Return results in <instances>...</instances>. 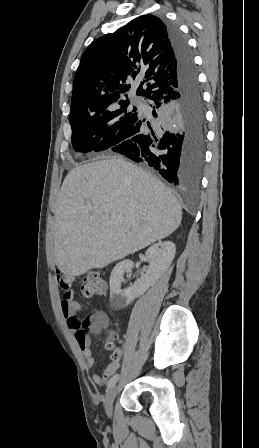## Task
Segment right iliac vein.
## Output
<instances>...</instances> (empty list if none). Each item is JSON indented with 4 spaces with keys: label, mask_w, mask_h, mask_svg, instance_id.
<instances>
[{
    "label": "right iliac vein",
    "mask_w": 259,
    "mask_h": 448,
    "mask_svg": "<svg viewBox=\"0 0 259 448\" xmlns=\"http://www.w3.org/2000/svg\"><path fill=\"white\" fill-rule=\"evenodd\" d=\"M117 391H118V387L116 385H113L112 387L109 388V390L106 393L105 411H106V414L108 415V417H111V415H112V406H113L114 399L117 395Z\"/></svg>",
    "instance_id": "right-iliac-vein-1"
}]
</instances>
